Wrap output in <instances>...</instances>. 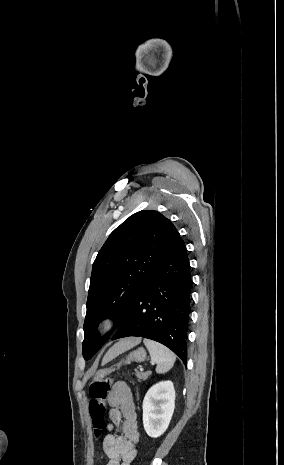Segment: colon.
<instances>
[{"label":"colon","mask_w":284,"mask_h":465,"mask_svg":"<svg viewBox=\"0 0 284 465\" xmlns=\"http://www.w3.org/2000/svg\"><path fill=\"white\" fill-rule=\"evenodd\" d=\"M109 393V379L104 378L103 376L97 378L89 387V403L96 413H92L90 416L91 421L93 422L92 427L94 430H105L107 427L106 422L104 421L105 416L103 413L106 412L107 407L105 401ZM96 436L100 435L99 431L95 432Z\"/></svg>","instance_id":"5ec220e1"}]
</instances>
